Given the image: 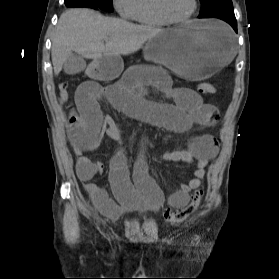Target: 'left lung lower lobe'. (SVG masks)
Instances as JSON below:
<instances>
[{
	"instance_id": "1",
	"label": "left lung lower lobe",
	"mask_w": 279,
	"mask_h": 279,
	"mask_svg": "<svg viewBox=\"0 0 279 279\" xmlns=\"http://www.w3.org/2000/svg\"><path fill=\"white\" fill-rule=\"evenodd\" d=\"M215 18H219L221 20L226 21L227 23H229L232 26V28L235 30V32H237V21H236L234 13L220 14V15L215 16Z\"/></svg>"
}]
</instances>
